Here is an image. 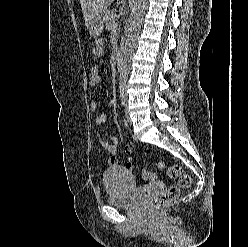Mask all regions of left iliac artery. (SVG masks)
<instances>
[{"instance_id":"44dca946","label":"left iliac artery","mask_w":248,"mask_h":247,"mask_svg":"<svg viewBox=\"0 0 248 247\" xmlns=\"http://www.w3.org/2000/svg\"><path fill=\"white\" fill-rule=\"evenodd\" d=\"M121 101H122V105H126V92H125V89L122 87L121 88Z\"/></svg>"}]
</instances>
